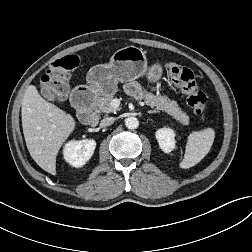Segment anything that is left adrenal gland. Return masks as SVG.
<instances>
[{
	"label": "left adrenal gland",
	"instance_id": "obj_1",
	"mask_svg": "<svg viewBox=\"0 0 252 252\" xmlns=\"http://www.w3.org/2000/svg\"><path fill=\"white\" fill-rule=\"evenodd\" d=\"M155 113H157L156 110H150V111H148V114H155Z\"/></svg>",
	"mask_w": 252,
	"mask_h": 252
}]
</instances>
